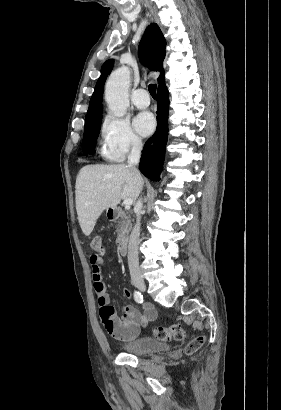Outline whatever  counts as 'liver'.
<instances>
[{
  "instance_id": "liver-1",
  "label": "liver",
  "mask_w": 281,
  "mask_h": 410,
  "mask_svg": "<svg viewBox=\"0 0 281 410\" xmlns=\"http://www.w3.org/2000/svg\"><path fill=\"white\" fill-rule=\"evenodd\" d=\"M144 181L140 173L124 164L82 167L76 178V210L82 232L89 236L97 219L122 199L136 200Z\"/></svg>"
}]
</instances>
